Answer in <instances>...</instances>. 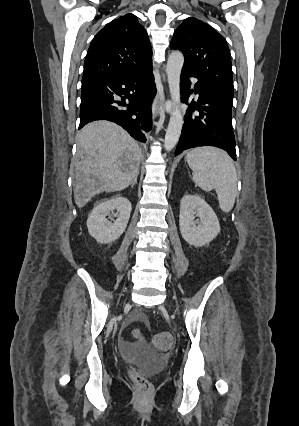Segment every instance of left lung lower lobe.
Here are the masks:
<instances>
[{"mask_svg":"<svg viewBox=\"0 0 299 426\" xmlns=\"http://www.w3.org/2000/svg\"><path fill=\"white\" fill-rule=\"evenodd\" d=\"M196 77L192 72L182 68L181 74V100L188 103L190 81L187 77ZM197 78V77H196ZM195 93L199 94L197 103L191 102L184 117L182 134L177 145L175 156L185 149L198 146H216L227 151L236 160L235 137L232 129V106L233 100L225 97L204 82L198 79L194 86ZM198 110L199 115L191 113Z\"/></svg>","mask_w":299,"mask_h":426,"instance_id":"1","label":"left lung lower lobe"}]
</instances>
